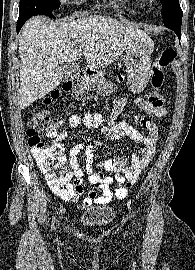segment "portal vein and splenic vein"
Returning a JSON list of instances; mask_svg holds the SVG:
<instances>
[{
	"instance_id": "obj_1",
	"label": "portal vein and splenic vein",
	"mask_w": 195,
	"mask_h": 270,
	"mask_svg": "<svg viewBox=\"0 0 195 270\" xmlns=\"http://www.w3.org/2000/svg\"><path fill=\"white\" fill-rule=\"evenodd\" d=\"M78 43L79 44H82L83 43V40L81 39V40H78Z\"/></svg>"
}]
</instances>
